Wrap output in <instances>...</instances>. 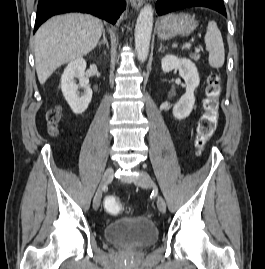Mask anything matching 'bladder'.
Instances as JSON below:
<instances>
[{
    "label": "bladder",
    "mask_w": 265,
    "mask_h": 269,
    "mask_svg": "<svg viewBox=\"0 0 265 269\" xmlns=\"http://www.w3.org/2000/svg\"><path fill=\"white\" fill-rule=\"evenodd\" d=\"M159 237L157 226L148 218H122L104 228V238L118 246L146 247Z\"/></svg>",
    "instance_id": "1"
}]
</instances>
